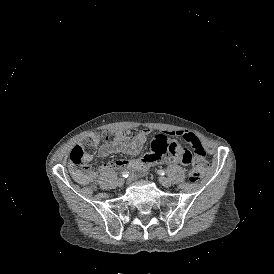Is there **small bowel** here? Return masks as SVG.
<instances>
[{"instance_id": "1", "label": "small bowel", "mask_w": 274, "mask_h": 274, "mask_svg": "<svg viewBox=\"0 0 274 274\" xmlns=\"http://www.w3.org/2000/svg\"><path fill=\"white\" fill-rule=\"evenodd\" d=\"M151 130L149 128H142L137 132V135L130 141L120 140L117 142H106L100 145L97 150L98 157H106L115 153H127L130 155H136L140 152L142 147L146 144ZM172 136L180 137L187 142L191 147L189 148L182 142L172 141L169 136L162 134L154 140L150 153L146 156L137 158L136 161L128 159H117L112 163L103 164L99 171L105 172L111 169H139L144 171L148 167H153L162 163V161L168 164H180L182 166H189L194 161V157L197 154L205 155V148L201 140L190 131H173L169 133ZM93 159L92 153H85L82 162L84 164L89 163ZM72 176L80 184L90 183L95 174L91 170L83 167H77L72 170Z\"/></svg>"}]
</instances>
